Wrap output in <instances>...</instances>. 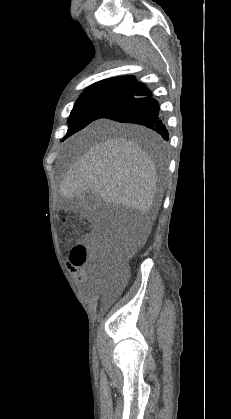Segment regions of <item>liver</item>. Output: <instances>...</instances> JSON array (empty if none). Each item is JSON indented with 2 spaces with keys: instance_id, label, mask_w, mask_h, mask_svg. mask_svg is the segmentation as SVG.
Listing matches in <instances>:
<instances>
[{
  "instance_id": "obj_1",
  "label": "liver",
  "mask_w": 231,
  "mask_h": 419,
  "mask_svg": "<svg viewBox=\"0 0 231 419\" xmlns=\"http://www.w3.org/2000/svg\"><path fill=\"white\" fill-rule=\"evenodd\" d=\"M103 124L113 130H131L156 139L152 133L138 126L112 122ZM156 185L157 170L151 156L137 143L113 136L93 144L71 166L61 182L59 192L65 198H79L92 192L107 203L140 211L146 218V225L140 234L143 241L158 211Z\"/></svg>"
}]
</instances>
